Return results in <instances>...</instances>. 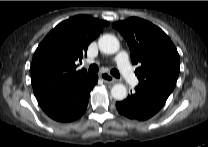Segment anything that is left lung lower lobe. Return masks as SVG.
I'll list each match as a JSON object with an SVG mask.
<instances>
[{"label":"left lung lower lobe","instance_id":"1","mask_svg":"<svg viewBox=\"0 0 208 147\" xmlns=\"http://www.w3.org/2000/svg\"><path fill=\"white\" fill-rule=\"evenodd\" d=\"M168 96L152 87L138 85L124 101L116 103V108L129 119L144 121L162 108Z\"/></svg>","mask_w":208,"mask_h":147}]
</instances>
